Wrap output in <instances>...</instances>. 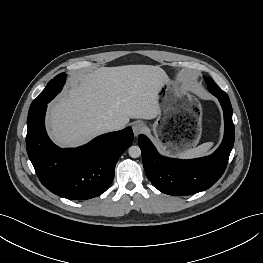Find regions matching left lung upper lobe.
<instances>
[{
    "mask_svg": "<svg viewBox=\"0 0 263 263\" xmlns=\"http://www.w3.org/2000/svg\"><path fill=\"white\" fill-rule=\"evenodd\" d=\"M206 81H207V84H208V89L210 91L220 89V87L213 81V79L206 78Z\"/></svg>",
    "mask_w": 263,
    "mask_h": 263,
    "instance_id": "left-lung-upper-lobe-1",
    "label": "left lung upper lobe"
}]
</instances>
